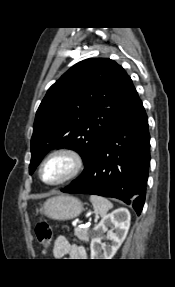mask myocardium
I'll return each mask as SVG.
<instances>
[{
    "label": "myocardium",
    "mask_w": 175,
    "mask_h": 287,
    "mask_svg": "<svg viewBox=\"0 0 175 287\" xmlns=\"http://www.w3.org/2000/svg\"><path fill=\"white\" fill-rule=\"evenodd\" d=\"M56 156H67L71 162H72V168L70 170V172L61 180L56 181V182H46L43 178V168L45 166V164L52 159L53 157ZM85 167V159L83 157V155L73 149V148H68V147H63V148H58L55 149L53 151H51L41 162L40 166H39V170H38V174H39V178L41 179V181L47 185V186H51V187H56V186H61L63 184H66L69 181L74 180L75 178H77L82 171L84 170Z\"/></svg>",
    "instance_id": "myocardium-1"
}]
</instances>
